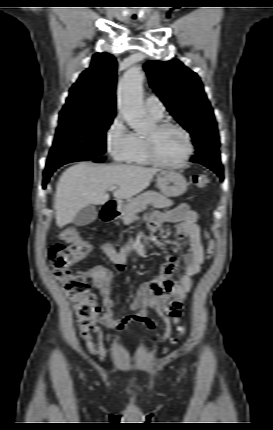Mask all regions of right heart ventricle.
Instances as JSON below:
<instances>
[{"label": "right heart ventricle", "mask_w": 273, "mask_h": 430, "mask_svg": "<svg viewBox=\"0 0 273 430\" xmlns=\"http://www.w3.org/2000/svg\"><path fill=\"white\" fill-rule=\"evenodd\" d=\"M149 115L155 121H157L161 118V117H157L155 115H152L150 113H149ZM135 136H136V140H137V146H136V149L133 152L129 162L131 164L138 165V166L149 165L151 162H150V160L148 158V154H147L145 136H143L141 134H135Z\"/></svg>", "instance_id": "right-heart-ventricle-1"}]
</instances>
